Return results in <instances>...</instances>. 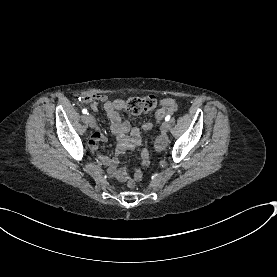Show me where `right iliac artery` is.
Wrapping results in <instances>:
<instances>
[{
  "mask_svg": "<svg viewBox=\"0 0 277 277\" xmlns=\"http://www.w3.org/2000/svg\"><path fill=\"white\" fill-rule=\"evenodd\" d=\"M82 112H83V114H88L87 109H83Z\"/></svg>",
  "mask_w": 277,
  "mask_h": 277,
  "instance_id": "obj_1",
  "label": "right iliac artery"
}]
</instances>
